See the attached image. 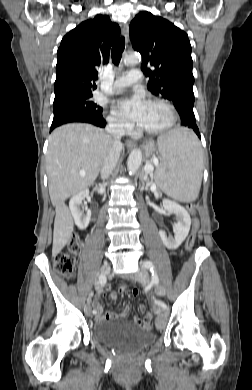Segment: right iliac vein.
<instances>
[{
	"instance_id": "1",
	"label": "right iliac vein",
	"mask_w": 252,
	"mask_h": 390,
	"mask_svg": "<svg viewBox=\"0 0 252 390\" xmlns=\"http://www.w3.org/2000/svg\"><path fill=\"white\" fill-rule=\"evenodd\" d=\"M110 265L105 263L102 265L100 271L101 273H104L105 275H108L109 272H110ZM84 311L85 313L88 315V316H92V307L91 305H86L85 308H84Z\"/></svg>"
}]
</instances>
